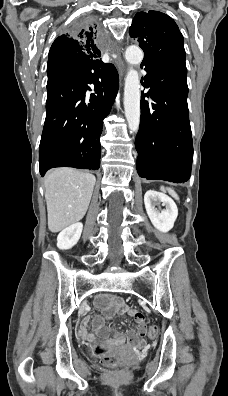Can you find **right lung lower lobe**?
Masks as SVG:
<instances>
[{
	"mask_svg": "<svg viewBox=\"0 0 228 396\" xmlns=\"http://www.w3.org/2000/svg\"><path fill=\"white\" fill-rule=\"evenodd\" d=\"M119 86L113 64L101 60L73 61L47 87L46 119L39 146L40 174L68 166L97 170L100 135ZM94 89L95 94L86 96Z\"/></svg>",
	"mask_w": 228,
	"mask_h": 396,
	"instance_id": "right-lung-lower-lobe-1",
	"label": "right lung lower lobe"
}]
</instances>
